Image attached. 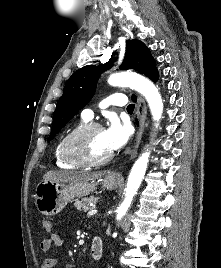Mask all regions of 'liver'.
Here are the masks:
<instances>
[{
    "label": "liver",
    "instance_id": "6515ba94",
    "mask_svg": "<svg viewBox=\"0 0 221 268\" xmlns=\"http://www.w3.org/2000/svg\"><path fill=\"white\" fill-rule=\"evenodd\" d=\"M104 172H70V171H48L43 176V181L61 183H81L100 179Z\"/></svg>",
    "mask_w": 221,
    "mask_h": 268
}]
</instances>
